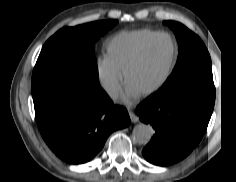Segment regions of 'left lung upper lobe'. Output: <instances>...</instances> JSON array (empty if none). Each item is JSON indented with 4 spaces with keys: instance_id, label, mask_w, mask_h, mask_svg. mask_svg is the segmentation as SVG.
Here are the masks:
<instances>
[{
    "instance_id": "5c2ea615",
    "label": "left lung upper lobe",
    "mask_w": 236,
    "mask_h": 182,
    "mask_svg": "<svg viewBox=\"0 0 236 182\" xmlns=\"http://www.w3.org/2000/svg\"><path fill=\"white\" fill-rule=\"evenodd\" d=\"M175 33L179 45L176 65L160 91L152 97L168 101L189 99L214 105L216 90L210 54L201 38L185 25L165 21Z\"/></svg>"
}]
</instances>
